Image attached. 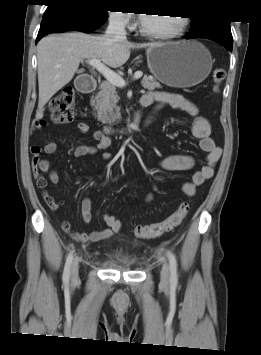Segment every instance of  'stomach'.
Returning a JSON list of instances; mask_svg holds the SVG:
<instances>
[{
	"label": "stomach",
	"mask_w": 261,
	"mask_h": 355,
	"mask_svg": "<svg viewBox=\"0 0 261 355\" xmlns=\"http://www.w3.org/2000/svg\"><path fill=\"white\" fill-rule=\"evenodd\" d=\"M146 56L154 77L171 87L195 86L212 69L210 52L196 40L158 43L148 47Z\"/></svg>",
	"instance_id": "1"
}]
</instances>
